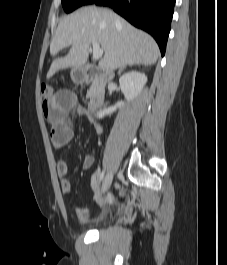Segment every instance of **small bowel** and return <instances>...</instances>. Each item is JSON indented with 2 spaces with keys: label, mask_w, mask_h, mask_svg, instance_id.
<instances>
[{
  "label": "small bowel",
  "mask_w": 227,
  "mask_h": 265,
  "mask_svg": "<svg viewBox=\"0 0 227 265\" xmlns=\"http://www.w3.org/2000/svg\"><path fill=\"white\" fill-rule=\"evenodd\" d=\"M42 107L44 116L51 125L50 139L55 148L63 147L74 137V129L68 118V113L73 107H76L79 116L87 118L93 123L97 135L103 133L102 126L93 119L89 111L83 107V104H79V99H77V96H73V91H57L51 102H42ZM93 163V156H85L83 168L88 169ZM56 170L62 192L66 195L70 194L71 183L68 179L69 169L67 163L63 160L58 161ZM98 178L99 173L96 172L92 177V189L95 195L98 192ZM75 211L81 221L87 222L90 219V213L85 207H76Z\"/></svg>",
  "instance_id": "c3829d8e"
}]
</instances>
